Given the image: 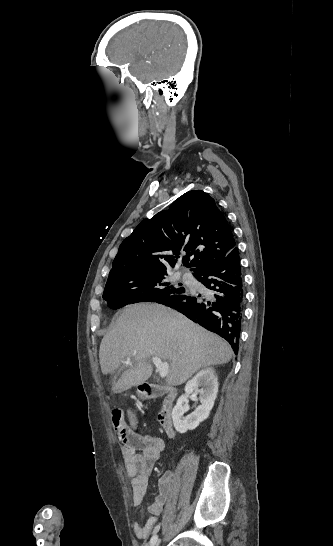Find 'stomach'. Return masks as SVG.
<instances>
[{
    "label": "stomach",
    "mask_w": 333,
    "mask_h": 546,
    "mask_svg": "<svg viewBox=\"0 0 333 546\" xmlns=\"http://www.w3.org/2000/svg\"><path fill=\"white\" fill-rule=\"evenodd\" d=\"M137 395L140 397V398H143L144 397V394L141 392V391H137Z\"/></svg>",
    "instance_id": "0dacf381"
}]
</instances>
